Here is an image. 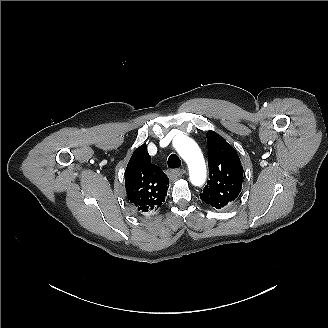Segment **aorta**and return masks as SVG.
<instances>
[{
  "label": "aorta",
  "mask_w": 328,
  "mask_h": 328,
  "mask_svg": "<svg viewBox=\"0 0 328 328\" xmlns=\"http://www.w3.org/2000/svg\"><path fill=\"white\" fill-rule=\"evenodd\" d=\"M173 145L188 165L191 183L201 186L206 180V165L198 145L193 139L184 135L176 138Z\"/></svg>",
  "instance_id": "762f6f07"
}]
</instances>
